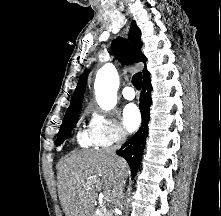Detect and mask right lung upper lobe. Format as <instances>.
<instances>
[{
	"label": "right lung upper lobe",
	"instance_id": "right-lung-upper-lobe-1",
	"mask_svg": "<svg viewBox=\"0 0 221 216\" xmlns=\"http://www.w3.org/2000/svg\"><path fill=\"white\" fill-rule=\"evenodd\" d=\"M128 38L129 42H126V40L122 38H117L112 42L111 49L116 58L123 64H132L133 62L139 61L146 63V58L141 53V31L137 27L135 21H133L131 24ZM87 74L88 72L86 71L83 75L80 76L77 87L72 96L70 106L67 109L65 116L81 111ZM149 74L150 73L146 70L145 67L143 69V79L148 77Z\"/></svg>",
	"mask_w": 221,
	"mask_h": 216
}]
</instances>
